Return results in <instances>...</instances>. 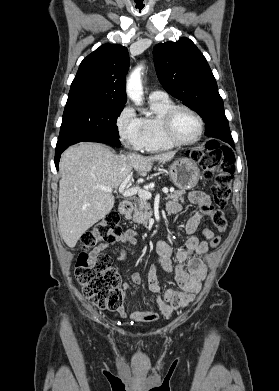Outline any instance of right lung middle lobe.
Instances as JSON below:
<instances>
[{"mask_svg": "<svg viewBox=\"0 0 279 391\" xmlns=\"http://www.w3.org/2000/svg\"><path fill=\"white\" fill-rule=\"evenodd\" d=\"M122 109L116 105H88L64 110L57 147L103 135L118 137L116 121Z\"/></svg>", "mask_w": 279, "mask_h": 391, "instance_id": "right-lung-middle-lobe-1", "label": "right lung middle lobe"}]
</instances>
